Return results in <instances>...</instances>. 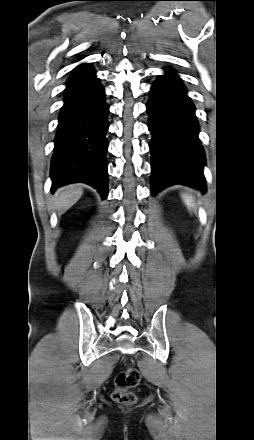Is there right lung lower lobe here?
Segmentation results:
<instances>
[{"mask_svg":"<svg viewBox=\"0 0 254 440\" xmlns=\"http://www.w3.org/2000/svg\"><path fill=\"white\" fill-rule=\"evenodd\" d=\"M104 98L93 67L77 66L67 81L59 116L50 171L52 192L68 183L84 182L106 197L109 108Z\"/></svg>","mask_w":254,"mask_h":440,"instance_id":"98d812e1","label":"right lung lower lobe"}]
</instances>
